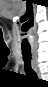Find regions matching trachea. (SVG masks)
Masks as SVG:
<instances>
[{"mask_svg": "<svg viewBox=\"0 0 48 87\" xmlns=\"http://www.w3.org/2000/svg\"><path fill=\"white\" fill-rule=\"evenodd\" d=\"M23 60L25 62V72L31 78H37L35 71L31 68V52L29 50H22Z\"/></svg>", "mask_w": 48, "mask_h": 87, "instance_id": "trachea-1", "label": "trachea"}]
</instances>
